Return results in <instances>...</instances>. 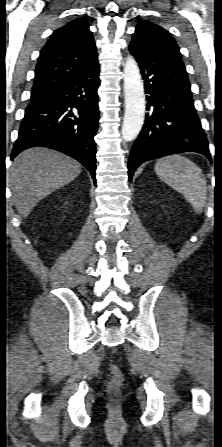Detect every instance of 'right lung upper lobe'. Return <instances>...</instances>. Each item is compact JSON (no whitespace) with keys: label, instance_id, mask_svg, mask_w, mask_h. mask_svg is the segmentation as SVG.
<instances>
[{"label":"right lung upper lobe","instance_id":"cb5924a9","mask_svg":"<svg viewBox=\"0 0 222 447\" xmlns=\"http://www.w3.org/2000/svg\"><path fill=\"white\" fill-rule=\"evenodd\" d=\"M96 61V45L86 20L78 19L55 30L40 51L31 101L49 96Z\"/></svg>","mask_w":222,"mask_h":447}]
</instances>
